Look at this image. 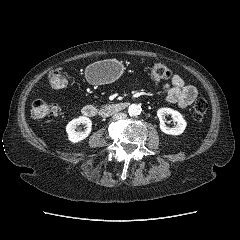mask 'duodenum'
I'll use <instances>...</instances> for the list:
<instances>
[{"label":"duodenum","instance_id":"410a0bca","mask_svg":"<svg viewBox=\"0 0 240 240\" xmlns=\"http://www.w3.org/2000/svg\"><path fill=\"white\" fill-rule=\"evenodd\" d=\"M127 106H128L127 102L111 103L101 109H97L93 105H85L82 108L81 112L84 116L90 117V118L96 117V116L108 117L114 113L123 111L124 109L127 108Z\"/></svg>","mask_w":240,"mask_h":240}]
</instances>
